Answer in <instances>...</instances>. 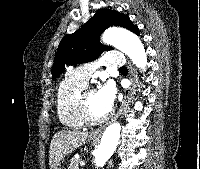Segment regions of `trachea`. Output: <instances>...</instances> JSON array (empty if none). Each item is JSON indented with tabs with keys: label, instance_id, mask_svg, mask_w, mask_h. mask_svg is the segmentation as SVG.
Instances as JSON below:
<instances>
[{
	"label": "trachea",
	"instance_id": "1",
	"mask_svg": "<svg viewBox=\"0 0 200 169\" xmlns=\"http://www.w3.org/2000/svg\"><path fill=\"white\" fill-rule=\"evenodd\" d=\"M119 70H121V71H128L126 67H121V68H119Z\"/></svg>",
	"mask_w": 200,
	"mask_h": 169
}]
</instances>
